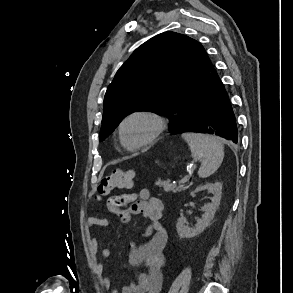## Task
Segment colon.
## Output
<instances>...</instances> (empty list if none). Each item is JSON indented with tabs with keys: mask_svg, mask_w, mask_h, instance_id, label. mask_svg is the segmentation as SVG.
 I'll return each mask as SVG.
<instances>
[{
	"mask_svg": "<svg viewBox=\"0 0 293 293\" xmlns=\"http://www.w3.org/2000/svg\"><path fill=\"white\" fill-rule=\"evenodd\" d=\"M132 170L115 169L106 174L98 186L99 195H107L116 189L130 188L134 179Z\"/></svg>",
	"mask_w": 293,
	"mask_h": 293,
	"instance_id": "colon-1",
	"label": "colon"
}]
</instances>
